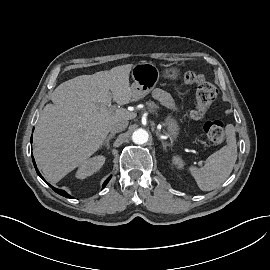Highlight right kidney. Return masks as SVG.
<instances>
[{
    "mask_svg": "<svg viewBox=\"0 0 270 270\" xmlns=\"http://www.w3.org/2000/svg\"><path fill=\"white\" fill-rule=\"evenodd\" d=\"M105 163V157L102 155L92 157L84 161L76 172V178L85 179L97 172Z\"/></svg>",
    "mask_w": 270,
    "mask_h": 270,
    "instance_id": "1",
    "label": "right kidney"
}]
</instances>
